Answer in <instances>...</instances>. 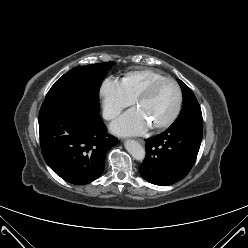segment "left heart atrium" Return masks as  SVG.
Returning <instances> with one entry per match:
<instances>
[{
	"label": "left heart atrium",
	"instance_id": "1",
	"mask_svg": "<svg viewBox=\"0 0 248 248\" xmlns=\"http://www.w3.org/2000/svg\"><path fill=\"white\" fill-rule=\"evenodd\" d=\"M150 123L142 110L132 108L111 124V130L118 135H141L145 133Z\"/></svg>",
	"mask_w": 248,
	"mask_h": 248
}]
</instances>
